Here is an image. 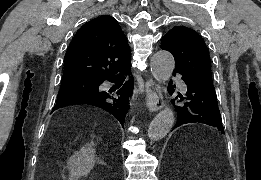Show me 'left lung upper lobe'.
Segmentation results:
<instances>
[{
  "instance_id": "obj_1",
  "label": "left lung upper lobe",
  "mask_w": 261,
  "mask_h": 180,
  "mask_svg": "<svg viewBox=\"0 0 261 180\" xmlns=\"http://www.w3.org/2000/svg\"><path fill=\"white\" fill-rule=\"evenodd\" d=\"M161 48L173 54L175 68L197 76L207 86L214 88L209 52L197 32L185 26H176L163 37Z\"/></svg>"
}]
</instances>
